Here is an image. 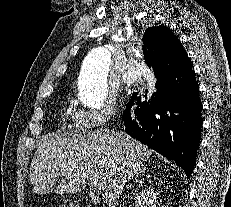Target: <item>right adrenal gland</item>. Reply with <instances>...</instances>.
I'll return each instance as SVG.
<instances>
[{
    "label": "right adrenal gland",
    "instance_id": "obj_1",
    "mask_svg": "<svg viewBox=\"0 0 231 207\" xmlns=\"http://www.w3.org/2000/svg\"><path fill=\"white\" fill-rule=\"evenodd\" d=\"M145 170H146V168L142 167L141 170L138 173H136L135 183L138 182V176H139V174L143 175V173H144ZM135 183H130V188L133 187Z\"/></svg>",
    "mask_w": 231,
    "mask_h": 207
}]
</instances>
